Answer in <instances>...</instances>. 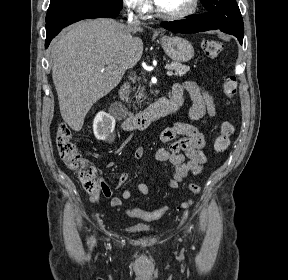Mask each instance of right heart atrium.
<instances>
[{"instance_id": "1", "label": "right heart atrium", "mask_w": 288, "mask_h": 280, "mask_svg": "<svg viewBox=\"0 0 288 280\" xmlns=\"http://www.w3.org/2000/svg\"><path fill=\"white\" fill-rule=\"evenodd\" d=\"M126 9L133 14L144 16L150 9L149 0H123Z\"/></svg>"}]
</instances>
